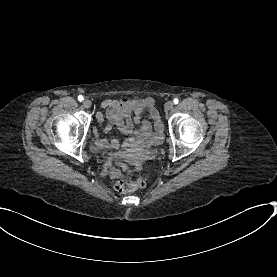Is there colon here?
Segmentation results:
<instances>
[{
    "label": "colon",
    "instance_id": "colon-1",
    "mask_svg": "<svg viewBox=\"0 0 277 277\" xmlns=\"http://www.w3.org/2000/svg\"><path fill=\"white\" fill-rule=\"evenodd\" d=\"M144 176H133L130 179H124L115 183V189L120 193H129L145 186Z\"/></svg>",
    "mask_w": 277,
    "mask_h": 277
}]
</instances>
